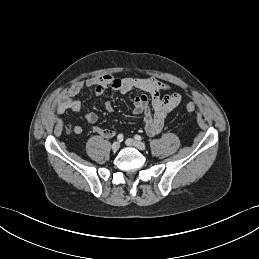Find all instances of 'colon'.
I'll use <instances>...</instances> for the list:
<instances>
[{
    "label": "colon",
    "mask_w": 259,
    "mask_h": 259,
    "mask_svg": "<svg viewBox=\"0 0 259 259\" xmlns=\"http://www.w3.org/2000/svg\"><path fill=\"white\" fill-rule=\"evenodd\" d=\"M196 107H195V104L192 103V102H189L185 105V110L189 113L195 111Z\"/></svg>",
    "instance_id": "obj_1"
}]
</instances>
